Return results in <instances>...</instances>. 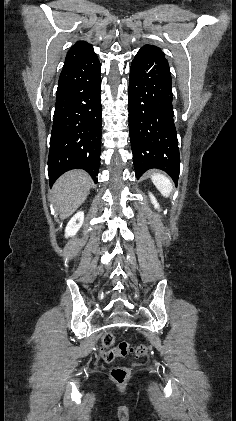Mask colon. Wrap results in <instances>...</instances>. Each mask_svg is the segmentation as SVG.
I'll use <instances>...</instances> for the list:
<instances>
[{"label":"colon","instance_id":"5ec220e1","mask_svg":"<svg viewBox=\"0 0 236 421\" xmlns=\"http://www.w3.org/2000/svg\"><path fill=\"white\" fill-rule=\"evenodd\" d=\"M114 343V335L108 331L103 335L102 338V357L105 361H113L116 357L126 356L128 354H134L142 357L148 353V346L145 343L132 345L128 342H121L117 347H112ZM130 376L128 368L123 366L114 367L111 370V377L119 383L124 382Z\"/></svg>","mask_w":236,"mask_h":421}]
</instances>
